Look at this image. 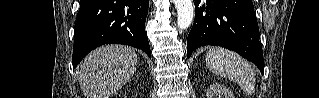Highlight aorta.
Segmentation results:
<instances>
[{
	"label": "aorta",
	"instance_id": "762f6f07",
	"mask_svg": "<svg viewBox=\"0 0 319 98\" xmlns=\"http://www.w3.org/2000/svg\"><path fill=\"white\" fill-rule=\"evenodd\" d=\"M177 9V25L179 29H187L192 23L194 8L192 0H173Z\"/></svg>",
	"mask_w": 319,
	"mask_h": 98
}]
</instances>
